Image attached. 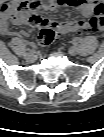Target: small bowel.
Wrapping results in <instances>:
<instances>
[{"mask_svg":"<svg viewBox=\"0 0 104 137\" xmlns=\"http://www.w3.org/2000/svg\"><path fill=\"white\" fill-rule=\"evenodd\" d=\"M62 6L78 9L89 18L70 23L58 24L44 18L39 10L55 11ZM104 5L99 0H30L11 1L4 4L0 11V31L3 35L22 38L27 36L25 31H12L11 25L51 26L62 34L73 32H99L103 26ZM41 17L40 21H32L33 17Z\"/></svg>","mask_w":104,"mask_h":137,"instance_id":"small-bowel-1","label":"small bowel"}]
</instances>
